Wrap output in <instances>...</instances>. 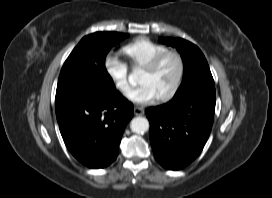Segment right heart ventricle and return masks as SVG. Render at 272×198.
<instances>
[{"label":"right heart ventricle","instance_id":"right-heart-ventricle-1","mask_svg":"<svg viewBox=\"0 0 272 198\" xmlns=\"http://www.w3.org/2000/svg\"><path fill=\"white\" fill-rule=\"evenodd\" d=\"M169 50L167 46L148 38H138L122 47L123 54L128 58L132 67L143 68L156 55Z\"/></svg>","mask_w":272,"mask_h":198}]
</instances>
